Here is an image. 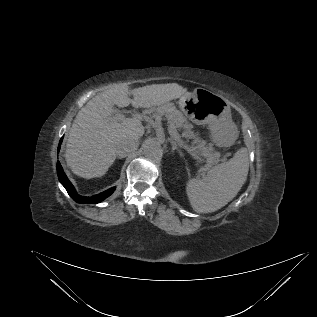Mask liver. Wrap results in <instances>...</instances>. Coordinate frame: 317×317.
Returning a JSON list of instances; mask_svg holds the SVG:
<instances>
[{"label": "liver", "mask_w": 317, "mask_h": 317, "mask_svg": "<svg viewBox=\"0 0 317 317\" xmlns=\"http://www.w3.org/2000/svg\"><path fill=\"white\" fill-rule=\"evenodd\" d=\"M133 95V99L128 94ZM187 89L177 83L152 84L129 92L125 84L108 89L93 97L78 112L69 130L65 159L72 172L83 178L103 176L116 159L117 142L144 134L138 118L111 121L114 105L130 104L135 108H149L180 98Z\"/></svg>", "instance_id": "6515ba94"}]
</instances>
